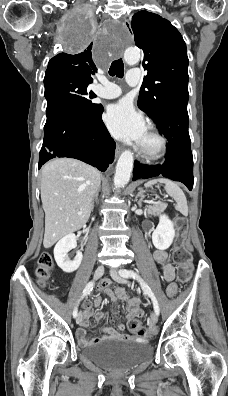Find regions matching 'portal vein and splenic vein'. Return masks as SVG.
Masks as SVG:
<instances>
[{
	"instance_id": "18ae733b",
	"label": "portal vein and splenic vein",
	"mask_w": 228,
	"mask_h": 396,
	"mask_svg": "<svg viewBox=\"0 0 228 396\" xmlns=\"http://www.w3.org/2000/svg\"><path fill=\"white\" fill-rule=\"evenodd\" d=\"M146 203H156V202H152V201H145ZM78 215H82V212H77Z\"/></svg>"
}]
</instances>
